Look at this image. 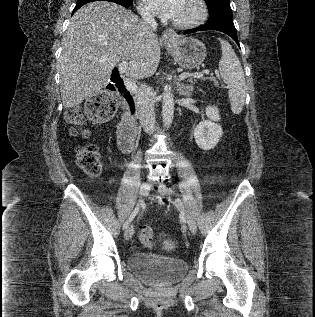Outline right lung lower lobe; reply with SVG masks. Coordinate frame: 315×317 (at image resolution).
<instances>
[{"mask_svg": "<svg viewBox=\"0 0 315 317\" xmlns=\"http://www.w3.org/2000/svg\"><path fill=\"white\" fill-rule=\"evenodd\" d=\"M105 1H110V2H114V3H117V4H120L126 8H129L132 4H127V3H124V2H121V1H117V0H105ZM89 3V2H88ZM86 3H81V4H76V7L74 8L73 10V14L83 5H85Z\"/></svg>", "mask_w": 315, "mask_h": 317, "instance_id": "obj_1", "label": "right lung lower lobe"}]
</instances>
